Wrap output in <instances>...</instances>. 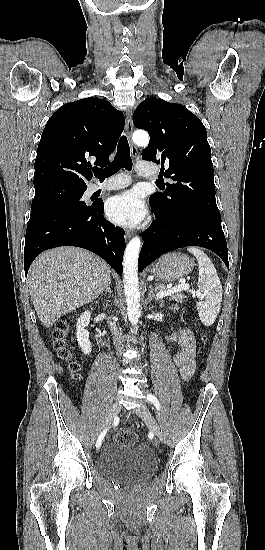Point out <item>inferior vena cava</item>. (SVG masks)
I'll use <instances>...</instances> for the list:
<instances>
[{
	"mask_svg": "<svg viewBox=\"0 0 265 550\" xmlns=\"http://www.w3.org/2000/svg\"><path fill=\"white\" fill-rule=\"evenodd\" d=\"M110 328L114 338V345L117 349V352L121 353L123 348L124 338L122 333L117 329L115 322L110 321Z\"/></svg>",
	"mask_w": 265,
	"mask_h": 550,
	"instance_id": "obj_1",
	"label": "inferior vena cava"
}]
</instances>
